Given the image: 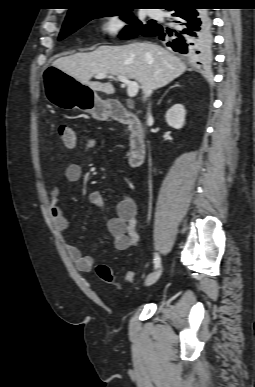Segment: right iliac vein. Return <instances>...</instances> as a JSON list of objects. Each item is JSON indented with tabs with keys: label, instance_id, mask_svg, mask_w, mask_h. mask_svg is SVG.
Here are the masks:
<instances>
[{
	"label": "right iliac vein",
	"instance_id": "right-iliac-vein-1",
	"mask_svg": "<svg viewBox=\"0 0 255 387\" xmlns=\"http://www.w3.org/2000/svg\"><path fill=\"white\" fill-rule=\"evenodd\" d=\"M161 273H162V269L159 268L158 270L149 274V276L145 280V285L150 286V285L154 284L160 278Z\"/></svg>",
	"mask_w": 255,
	"mask_h": 387
}]
</instances>
